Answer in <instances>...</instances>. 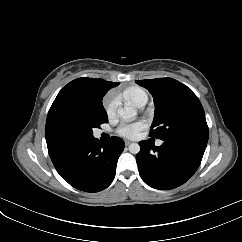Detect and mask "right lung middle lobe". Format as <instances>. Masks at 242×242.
<instances>
[{
	"instance_id": "right-lung-middle-lobe-1",
	"label": "right lung middle lobe",
	"mask_w": 242,
	"mask_h": 242,
	"mask_svg": "<svg viewBox=\"0 0 242 242\" xmlns=\"http://www.w3.org/2000/svg\"><path fill=\"white\" fill-rule=\"evenodd\" d=\"M108 117L103 106L79 110L68 109L58 118V126L62 132L70 136H93V128H99L102 123H107Z\"/></svg>"
}]
</instances>
